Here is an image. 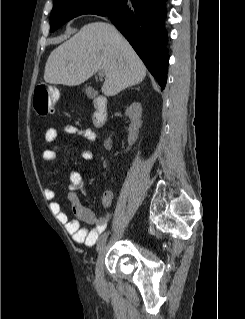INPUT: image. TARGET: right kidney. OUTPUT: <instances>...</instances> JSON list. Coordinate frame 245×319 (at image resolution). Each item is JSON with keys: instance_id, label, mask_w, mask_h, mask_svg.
Here are the masks:
<instances>
[{"instance_id": "right-kidney-1", "label": "right kidney", "mask_w": 245, "mask_h": 319, "mask_svg": "<svg viewBox=\"0 0 245 319\" xmlns=\"http://www.w3.org/2000/svg\"><path fill=\"white\" fill-rule=\"evenodd\" d=\"M126 116L131 120V124L129 126V135H128V144L130 147L136 142L138 138L139 128L141 127V115H142V106L138 102L132 103L125 111Z\"/></svg>"}]
</instances>
